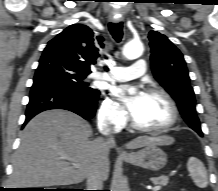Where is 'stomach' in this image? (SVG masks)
Returning a JSON list of instances; mask_svg holds the SVG:
<instances>
[{"mask_svg":"<svg viewBox=\"0 0 218 191\" xmlns=\"http://www.w3.org/2000/svg\"><path fill=\"white\" fill-rule=\"evenodd\" d=\"M124 160L147 170L159 171L167 163V154L158 145L149 144L143 149L131 153Z\"/></svg>","mask_w":218,"mask_h":191,"instance_id":"stomach-1","label":"stomach"}]
</instances>
